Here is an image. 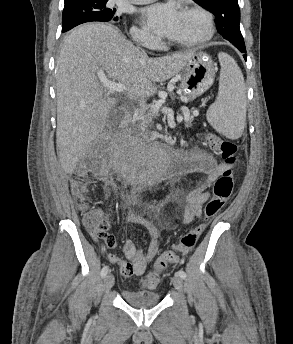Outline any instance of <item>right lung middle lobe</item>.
<instances>
[{
  "instance_id": "1",
  "label": "right lung middle lobe",
  "mask_w": 293,
  "mask_h": 344,
  "mask_svg": "<svg viewBox=\"0 0 293 344\" xmlns=\"http://www.w3.org/2000/svg\"><path fill=\"white\" fill-rule=\"evenodd\" d=\"M109 0H77L65 3L62 15V32L91 21L116 22L120 17L114 15L116 9L108 7Z\"/></svg>"
}]
</instances>
